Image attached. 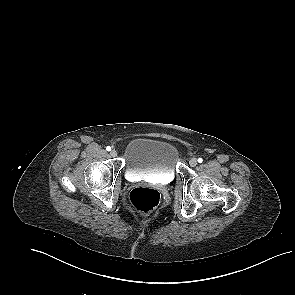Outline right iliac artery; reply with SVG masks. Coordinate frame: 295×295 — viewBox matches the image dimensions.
I'll return each mask as SVG.
<instances>
[{
	"label": "right iliac artery",
	"mask_w": 295,
	"mask_h": 295,
	"mask_svg": "<svg viewBox=\"0 0 295 295\" xmlns=\"http://www.w3.org/2000/svg\"><path fill=\"white\" fill-rule=\"evenodd\" d=\"M106 150H107V151H110V150H111V147H110V146H107V147H106Z\"/></svg>",
	"instance_id": "obj_1"
}]
</instances>
